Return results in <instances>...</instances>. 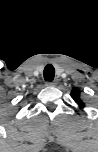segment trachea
Instances as JSON below:
<instances>
[{"label":"trachea","mask_w":98,"mask_h":152,"mask_svg":"<svg viewBox=\"0 0 98 152\" xmlns=\"http://www.w3.org/2000/svg\"><path fill=\"white\" fill-rule=\"evenodd\" d=\"M44 79L45 81H52L55 75V69L51 64H48L44 69Z\"/></svg>","instance_id":"obj_1"}]
</instances>
